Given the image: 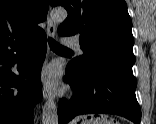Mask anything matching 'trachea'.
<instances>
[{
    "label": "trachea",
    "instance_id": "1",
    "mask_svg": "<svg viewBox=\"0 0 156 124\" xmlns=\"http://www.w3.org/2000/svg\"><path fill=\"white\" fill-rule=\"evenodd\" d=\"M48 43H49L50 48L54 51H70V49L60 45L51 37L48 38Z\"/></svg>",
    "mask_w": 156,
    "mask_h": 124
}]
</instances>
